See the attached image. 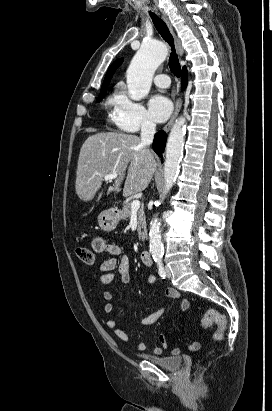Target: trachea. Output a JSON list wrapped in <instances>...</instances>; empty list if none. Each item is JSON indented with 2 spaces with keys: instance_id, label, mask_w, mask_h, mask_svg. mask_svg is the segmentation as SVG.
I'll return each mask as SVG.
<instances>
[{
  "instance_id": "trachea-1",
  "label": "trachea",
  "mask_w": 272,
  "mask_h": 411,
  "mask_svg": "<svg viewBox=\"0 0 272 411\" xmlns=\"http://www.w3.org/2000/svg\"><path fill=\"white\" fill-rule=\"evenodd\" d=\"M150 16L152 18V21L158 33L171 47V53L169 57V68L176 77H180L181 67L179 64L178 56L174 48L173 36L171 35L166 23L162 19H160L154 13H151V12H150Z\"/></svg>"
}]
</instances>
